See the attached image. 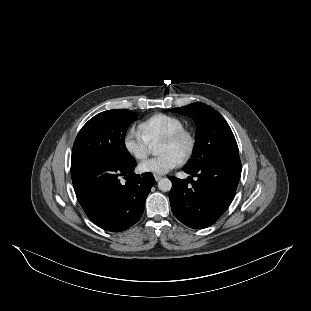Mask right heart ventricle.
<instances>
[{"label":"right heart ventricle","instance_id":"1","mask_svg":"<svg viewBox=\"0 0 311 311\" xmlns=\"http://www.w3.org/2000/svg\"><path fill=\"white\" fill-rule=\"evenodd\" d=\"M185 126L182 118L167 113H155L140 122V129L150 144L162 140Z\"/></svg>","mask_w":311,"mask_h":311}]
</instances>
